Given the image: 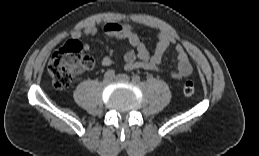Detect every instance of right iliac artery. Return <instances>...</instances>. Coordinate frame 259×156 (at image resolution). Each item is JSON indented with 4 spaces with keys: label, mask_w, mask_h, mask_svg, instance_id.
Instances as JSON below:
<instances>
[{
    "label": "right iliac artery",
    "mask_w": 259,
    "mask_h": 156,
    "mask_svg": "<svg viewBox=\"0 0 259 156\" xmlns=\"http://www.w3.org/2000/svg\"><path fill=\"white\" fill-rule=\"evenodd\" d=\"M115 76V71L110 69L104 74L105 79H112Z\"/></svg>",
    "instance_id": "obj_1"
}]
</instances>
